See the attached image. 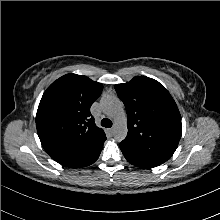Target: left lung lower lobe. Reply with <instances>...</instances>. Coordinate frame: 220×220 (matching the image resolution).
<instances>
[{
    "label": "left lung lower lobe",
    "mask_w": 220,
    "mask_h": 220,
    "mask_svg": "<svg viewBox=\"0 0 220 220\" xmlns=\"http://www.w3.org/2000/svg\"><path fill=\"white\" fill-rule=\"evenodd\" d=\"M120 148L126 160L134 166L140 168H153L162 164L139 153L131 151L122 145H120Z\"/></svg>",
    "instance_id": "obj_1"
}]
</instances>
